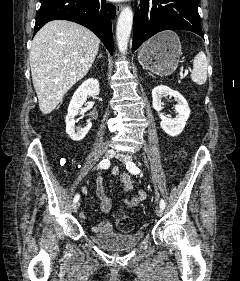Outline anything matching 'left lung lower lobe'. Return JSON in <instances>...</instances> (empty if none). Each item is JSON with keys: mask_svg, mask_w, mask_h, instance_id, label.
Masks as SVG:
<instances>
[{"mask_svg": "<svg viewBox=\"0 0 240 281\" xmlns=\"http://www.w3.org/2000/svg\"><path fill=\"white\" fill-rule=\"evenodd\" d=\"M182 29L204 38L198 0H141L134 14L133 52L156 33Z\"/></svg>", "mask_w": 240, "mask_h": 281, "instance_id": "0a47b994", "label": "left lung lower lobe"}]
</instances>
